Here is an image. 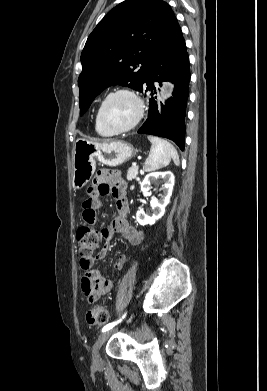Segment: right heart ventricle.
I'll list each match as a JSON object with an SVG mask.
<instances>
[{
    "instance_id": "right-heart-ventricle-1",
    "label": "right heart ventricle",
    "mask_w": 267,
    "mask_h": 391,
    "mask_svg": "<svg viewBox=\"0 0 267 391\" xmlns=\"http://www.w3.org/2000/svg\"><path fill=\"white\" fill-rule=\"evenodd\" d=\"M94 127H95V131L101 135V136H104V137H109V136H112L113 133L107 131L105 128H103V126L100 124L99 122V119H98V115H97V112L95 114V117H94Z\"/></svg>"
}]
</instances>
